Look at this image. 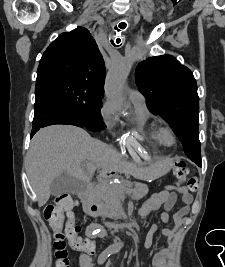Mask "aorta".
<instances>
[{
	"label": "aorta",
	"mask_w": 225,
	"mask_h": 267,
	"mask_svg": "<svg viewBox=\"0 0 225 267\" xmlns=\"http://www.w3.org/2000/svg\"><path fill=\"white\" fill-rule=\"evenodd\" d=\"M131 67L132 61L122 57L112 64L107 74L105 94L108 100L116 106L123 104L122 89ZM122 246V243H117L114 245V248L119 250Z\"/></svg>",
	"instance_id": "1"
}]
</instances>
